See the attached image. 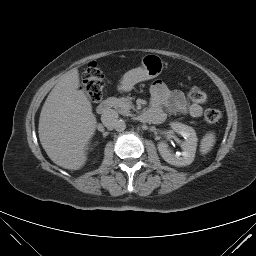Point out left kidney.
Masks as SVG:
<instances>
[{"label": "left kidney", "mask_w": 256, "mask_h": 256, "mask_svg": "<svg viewBox=\"0 0 256 256\" xmlns=\"http://www.w3.org/2000/svg\"><path fill=\"white\" fill-rule=\"evenodd\" d=\"M171 128L176 133L184 137V141L181 144L182 154H172L168 148V144L165 141L158 143L157 148L161 157L169 164L174 166H187L190 165L195 157L197 147V136L195 130L187 125L174 122L171 124Z\"/></svg>", "instance_id": "1"}]
</instances>
